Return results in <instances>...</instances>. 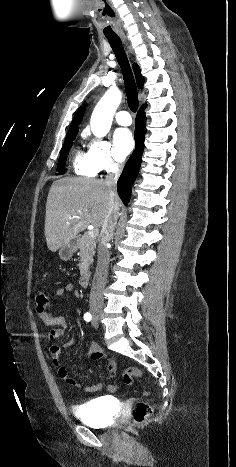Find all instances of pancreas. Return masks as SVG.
Returning <instances> with one entry per match:
<instances>
[{
    "instance_id": "cf45deb5",
    "label": "pancreas",
    "mask_w": 236,
    "mask_h": 467,
    "mask_svg": "<svg viewBox=\"0 0 236 467\" xmlns=\"http://www.w3.org/2000/svg\"><path fill=\"white\" fill-rule=\"evenodd\" d=\"M96 242V238H92L88 234H84L77 239V248L80 250L81 257L79 264L81 275H87L89 273V266L92 264L93 256L95 255Z\"/></svg>"
}]
</instances>
